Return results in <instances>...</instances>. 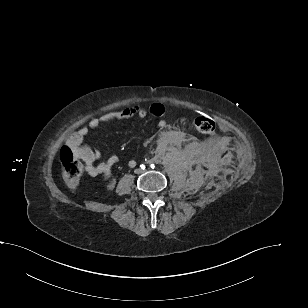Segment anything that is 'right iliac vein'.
<instances>
[{
    "instance_id": "1",
    "label": "right iliac vein",
    "mask_w": 308,
    "mask_h": 308,
    "mask_svg": "<svg viewBox=\"0 0 308 308\" xmlns=\"http://www.w3.org/2000/svg\"><path fill=\"white\" fill-rule=\"evenodd\" d=\"M135 173H136V174H141V173H142V170H141L140 168H137V169H135Z\"/></svg>"
}]
</instances>
